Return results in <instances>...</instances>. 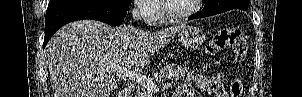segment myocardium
Returning <instances> with one entry per match:
<instances>
[{"label": "myocardium", "instance_id": "f54148a6", "mask_svg": "<svg viewBox=\"0 0 302 97\" xmlns=\"http://www.w3.org/2000/svg\"><path fill=\"white\" fill-rule=\"evenodd\" d=\"M202 2L203 0H194L193 7L182 13H174L170 7L169 0H164L163 5L167 18L172 21H179L196 14L200 10Z\"/></svg>", "mask_w": 302, "mask_h": 97}]
</instances>
